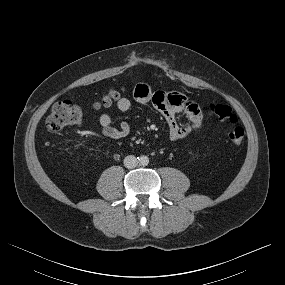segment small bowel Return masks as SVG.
<instances>
[{
	"label": "small bowel",
	"mask_w": 285,
	"mask_h": 285,
	"mask_svg": "<svg viewBox=\"0 0 285 285\" xmlns=\"http://www.w3.org/2000/svg\"><path fill=\"white\" fill-rule=\"evenodd\" d=\"M134 98L141 104H152L162 114L169 126V137L173 142L198 133L204 125V117L200 107L183 94L153 91L147 84L140 83L134 88ZM131 107L132 103L127 97L118 99L117 108L121 112H128ZM179 113L186 115L187 124L181 125L177 121V114ZM99 124L103 136L114 140L128 136L131 131L129 123L124 120H121L115 127L112 118L106 113L100 116Z\"/></svg>",
	"instance_id": "1"
}]
</instances>
